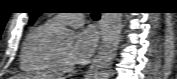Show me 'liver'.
I'll use <instances>...</instances> for the list:
<instances>
[{
    "label": "liver",
    "instance_id": "liver-1",
    "mask_svg": "<svg viewBox=\"0 0 177 79\" xmlns=\"http://www.w3.org/2000/svg\"><path fill=\"white\" fill-rule=\"evenodd\" d=\"M12 79H61L56 78L55 76H28V75H17L13 76Z\"/></svg>",
    "mask_w": 177,
    "mask_h": 79
}]
</instances>
